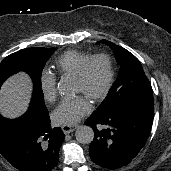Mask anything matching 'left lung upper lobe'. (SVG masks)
Masks as SVG:
<instances>
[{
    "mask_svg": "<svg viewBox=\"0 0 171 171\" xmlns=\"http://www.w3.org/2000/svg\"><path fill=\"white\" fill-rule=\"evenodd\" d=\"M101 42L113 49L120 71L107 97L92 115H111L127 109L153 111L152 87L139 60L126 49L110 41L102 40Z\"/></svg>",
    "mask_w": 171,
    "mask_h": 171,
    "instance_id": "1",
    "label": "left lung upper lobe"
}]
</instances>
